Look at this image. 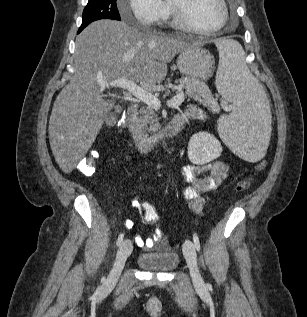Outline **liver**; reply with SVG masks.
<instances>
[{
	"label": "liver",
	"instance_id": "6515ba94",
	"mask_svg": "<svg viewBox=\"0 0 307 317\" xmlns=\"http://www.w3.org/2000/svg\"><path fill=\"white\" fill-rule=\"evenodd\" d=\"M190 45L113 20L86 27L75 42L74 76L57 96L49 120L50 147L62 171L70 173L85 156L115 104L103 99L98 81L155 86L167 76V64Z\"/></svg>",
	"mask_w": 307,
	"mask_h": 317
}]
</instances>
